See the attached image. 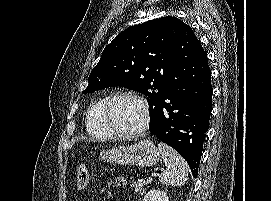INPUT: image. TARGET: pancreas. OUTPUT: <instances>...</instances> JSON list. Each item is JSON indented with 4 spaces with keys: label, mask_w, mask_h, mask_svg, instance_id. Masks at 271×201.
Instances as JSON below:
<instances>
[{
    "label": "pancreas",
    "mask_w": 271,
    "mask_h": 201,
    "mask_svg": "<svg viewBox=\"0 0 271 201\" xmlns=\"http://www.w3.org/2000/svg\"><path fill=\"white\" fill-rule=\"evenodd\" d=\"M146 185H148V182H146V181L143 180V179H140V180H138L137 182L132 183L131 186L135 188V191H136V192H140V191H142V190L144 189V187H145Z\"/></svg>",
    "instance_id": "cf45deb5"
}]
</instances>
